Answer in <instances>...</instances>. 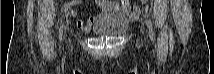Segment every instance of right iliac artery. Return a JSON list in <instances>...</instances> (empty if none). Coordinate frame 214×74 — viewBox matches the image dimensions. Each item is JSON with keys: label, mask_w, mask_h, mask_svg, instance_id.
Wrapping results in <instances>:
<instances>
[{"label": "right iliac artery", "mask_w": 214, "mask_h": 74, "mask_svg": "<svg viewBox=\"0 0 214 74\" xmlns=\"http://www.w3.org/2000/svg\"><path fill=\"white\" fill-rule=\"evenodd\" d=\"M59 38H60V40L62 39V33H61V31H60V35H59Z\"/></svg>", "instance_id": "obj_1"}]
</instances>
